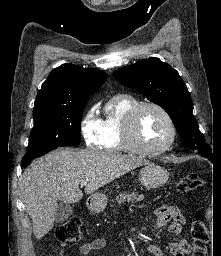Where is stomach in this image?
<instances>
[{
	"label": "stomach",
	"instance_id": "1",
	"mask_svg": "<svg viewBox=\"0 0 221 256\" xmlns=\"http://www.w3.org/2000/svg\"><path fill=\"white\" fill-rule=\"evenodd\" d=\"M168 171L154 163L144 165L139 172V180L146 188H159L167 183ZM107 197L104 194L96 193L88 199V208L95 213L103 211L107 205Z\"/></svg>",
	"mask_w": 221,
	"mask_h": 256
}]
</instances>
